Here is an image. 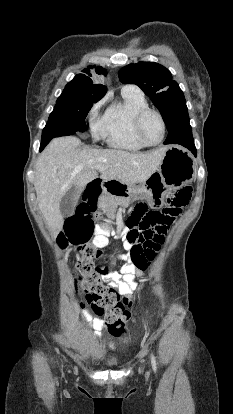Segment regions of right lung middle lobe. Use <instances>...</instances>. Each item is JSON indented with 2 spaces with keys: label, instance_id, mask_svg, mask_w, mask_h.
I'll return each mask as SVG.
<instances>
[{
  "label": "right lung middle lobe",
  "instance_id": "right-lung-middle-lobe-1",
  "mask_svg": "<svg viewBox=\"0 0 233 414\" xmlns=\"http://www.w3.org/2000/svg\"><path fill=\"white\" fill-rule=\"evenodd\" d=\"M99 100L90 93L65 87L57 99L48 123L64 125L75 132H83L86 130L85 118L93 104Z\"/></svg>",
  "mask_w": 233,
  "mask_h": 414
}]
</instances>
